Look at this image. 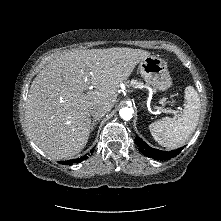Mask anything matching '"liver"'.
<instances>
[{"label": "liver", "instance_id": "6515ba94", "mask_svg": "<svg viewBox=\"0 0 221 221\" xmlns=\"http://www.w3.org/2000/svg\"><path fill=\"white\" fill-rule=\"evenodd\" d=\"M148 56L145 50L113 47L73 50L56 57L29 90L25 122L31 139L51 158L77 155L89 138V108L100 104L111 110L120 84ZM89 85L95 89L87 91Z\"/></svg>", "mask_w": 221, "mask_h": 221}]
</instances>
